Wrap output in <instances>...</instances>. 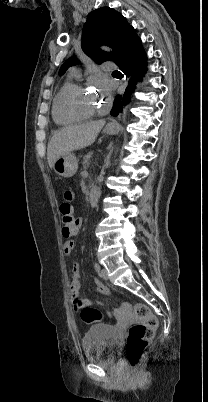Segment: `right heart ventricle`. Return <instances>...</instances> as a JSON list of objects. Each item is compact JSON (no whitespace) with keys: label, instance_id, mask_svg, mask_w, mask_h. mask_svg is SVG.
<instances>
[{"label":"right heart ventricle","instance_id":"obj_1","mask_svg":"<svg viewBox=\"0 0 208 402\" xmlns=\"http://www.w3.org/2000/svg\"><path fill=\"white\" fill-rule=\"evenodd\" d=\"M75 86L76 84L71 79H67L66 82L61 86V88L53 97L51 114L53 121L58 126L62 127L75 126L83 123L89 118V117L81 118L73 116L69 112H67L64 106V100L66 95Z\"/></svg>","mask_w":208,"mask_h":402}]
</instances>
